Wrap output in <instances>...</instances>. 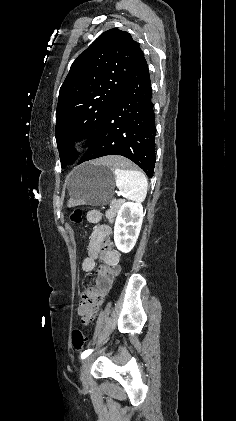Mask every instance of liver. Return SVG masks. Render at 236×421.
Wrapping results in <instances>:
<instances>
[{
  "label": "liver",
  "instance_id": "6515ba94",
  "mask_svg": "<svg viewBox=\"0 0 236 421\" xmlns=\"http://www.w3.org/2000/svg\"><path fill=\"white\" fill-rule=\"evenodd\" d=\"M115 162L122 164V162H126V160L117 158V156H104L103 160H99L98 164H109V166H112V164H115Z\"/></svg>",
  "mask_w": 236,
  "mask_h": 421
}]
</instances>
